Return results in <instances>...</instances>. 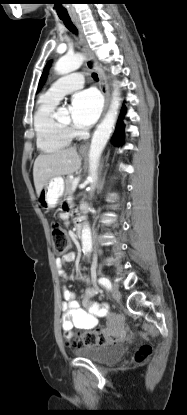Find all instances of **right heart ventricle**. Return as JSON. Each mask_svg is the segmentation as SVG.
Wrapping results in <instances>:
<instances>
[{
    "label": "right heart ventricle",
    "mask_w": 187,
    "mask_h": 415,
    "mask_svg": "<svg viewBox=\"0 0 187 415\" xmlns=\"http://www.w3.org/2000/svg\"><path fill=\"white\" fill-rule=\"evenodd\" d=\"M57 102L42 96L33 119L37 147L47 153L57 152L71 141V135L53 117Z\"/></svg>",
    "instance_id": "right-heart-ventricle-1"
}]
</instances>
